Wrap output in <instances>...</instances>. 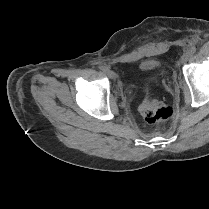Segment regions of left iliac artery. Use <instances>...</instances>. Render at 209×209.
Returning <instances> with one entry per match:
<instances>
[{
    "label": "left iliac artery",
    "mask_w": 209,
    "mask_h": 209,
    "mask_svg": "<svg viewBox=\"0 0 209 209\" xmlns=\"http://www.w3.org/2000/svg\"><path fill=\"white\" fill-rule=\"evenodd\" d=\"M196 47L195 46H191L189 49V53L194 54L196 52Z\"/></svg>",
    "instance_id": "left-iliac-artery-1"
}]
</instances>
